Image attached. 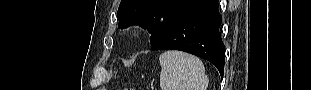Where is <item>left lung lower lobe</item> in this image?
<instances>
[{"instance_id":"left-lung-lower-lobe-1","label":"left lung lower lobe","mask_w":311,"mask_h":90,"mask_svg":"<svg viewBox=\"0 0 311 90\" xmlns=\"http://www.w3.org/2000/svg\"><path fill=\"white\" fill-rule=\"evenodd\" d=\"M221 22L218 0H201L179 16L151 50L174 49L194 54L213 63L223 77L225 51L219 33Z\"/></svg>"}]
</instances>
